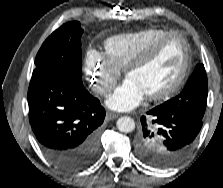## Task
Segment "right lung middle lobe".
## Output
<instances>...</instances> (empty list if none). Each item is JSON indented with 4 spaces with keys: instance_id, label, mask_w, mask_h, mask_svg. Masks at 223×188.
<instances>
[{
    "instance_id": "dd1d6c3e",
    "label": "right lung middle lobe",
    "mask_w": 223,
    "mask_h": 188,
    "mask_svg": "<svg viewBox=\"0 0 223 188\" xmlns=\"http://www.w3.org/2000/svg\"><path fill=\"white\" fill-rule=\"evenodd\" d=\"M82 33L77 21L68 22L53 32L37 53L33 74L60 76L84 87L81 73Z\"/></svg>"
}]
</instances>
